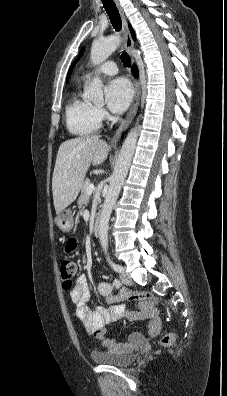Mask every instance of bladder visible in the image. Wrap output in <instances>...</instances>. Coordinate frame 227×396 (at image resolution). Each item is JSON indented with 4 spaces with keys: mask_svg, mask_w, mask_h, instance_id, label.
I'll return each instance as SVG.
<instances>
[{
    "mask_svg": "<svg viewBox=\"0 0 227 396\" xmlns=\"http://www.w3.org/2000/svg\"><path fill=\"white\" fill-rule=\"evenodd\" d=\"M93 362L116 367H127L136 360L134 353H118L113 351H93L91 353Z\"/></svg>",
    "mask_w": 227,
    "mask_h": 396,
    "instance_id": "bladder-1",
    "label": "bladder"
}]
</instances>
